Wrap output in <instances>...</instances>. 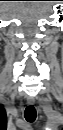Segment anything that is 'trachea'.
Returning a JSON list of instances; mask_svg holds the SVG:
<instances>
[{
  "mask_svg": "<svg viewBox=\"0 0 63 130\" xmlns=\"http://www.w3.org/2000/svg\"><path fill=\"white\" fill-rule=\"evenodd\" d=\"M24 117L29 123H33L36 119V110L33 105H29L26 107L24 112Z\"/></svg>",
  "mask_w": 63,
  "mask_h": 130,
  "instance_id": "trachea-1",
  "label": "trachea"
}]
</instances>
